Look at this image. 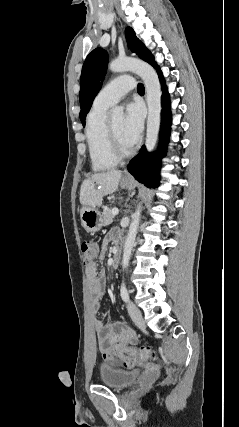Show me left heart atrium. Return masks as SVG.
Returning a JSON list of instances; mask_svg holds the SVG:
<instances>
[{
	"mask_svg": "<svg viewBox=\"0 0 239 427\" xmlns=\"http://www.w3.org/2000/svg\"><path fill=\"white\" fill-rule=\"evenodd\" d=\"M143 129V109L139 103H130L126 107L123 121V136L131 146H134Z\"/></svg>",
	"mask_w": 239,
	"mask_h": 427,
	"instance_id": "obj_1",
	"label": "left heart atrium"
}]
</instances>
